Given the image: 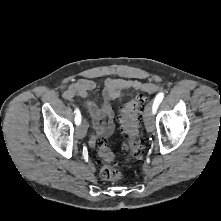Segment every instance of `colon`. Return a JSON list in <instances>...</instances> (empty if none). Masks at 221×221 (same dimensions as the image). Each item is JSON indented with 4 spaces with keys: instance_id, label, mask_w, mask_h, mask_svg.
I'll list each match as a JSON object with an SVG mask.
<instances>
[{
    "instance_id": "5ec220e1",
    "label": "colon",
    "mask_w": 221,
    "mask_h": 221,
    "mask_svg": "<svg viewBox=\"0 0 221 221\" xmlns=\"http://www.w3.org/2000/svg\"><path fill=\"white\" fill-rule=\"evenodd\" d=\"M145 99L139 95L132 99L123 109L120 123L126 140L123 149L128 160L138 159L143 149V137L140 131V121L144 109ZM98 154L101 161L100 176L103 180L116 182L122 178V172L114 164V155L104 140L98 142Z\"/></svg>"
}]
</instances>
